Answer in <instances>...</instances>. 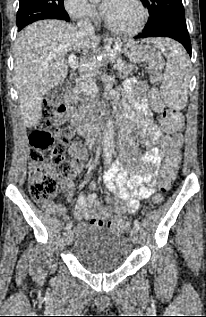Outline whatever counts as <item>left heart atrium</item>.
<instances>
[{"instance_id":"1","label":"left heart atrium","mask_w":206,"mask_h":317,"mask_svg":"<svg viewBox=\"0 0 206 317\" xmlns=\"http://www.w3.org/2000/svg\"><path fill=\"white\" fill-rule=\"evenodd\" d=\"M111 0H103L102 4H101V8L105 14V12L107 11L108 7H109V3Z\"/></svg>"}]
</instances>
